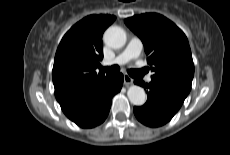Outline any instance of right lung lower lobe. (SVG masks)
I'll use <instances>...</instances> for the list:
<instances>
[{
    "instance_id": "98d812e1",
    "label": "right lung lower lobe",
    "mask_w": 230,
    "mask_h": 155,
    "mask_svg": "<svg viewBox=\"0 0 230 155\" xmlns=\"http://www.w3.org/2000/svg\"><path fill=\"white\" fill-rule=\"evenodd\" d=\"M123 80L121 73L111 74L82 96L60 103L62 111L82 128L101 124L109 113L112 97L121 90Z\"/></svg>"
}]
</instances>
